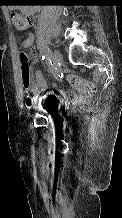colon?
<instances>
[{"label": "colon", "mask_w": 122, "mask_h": 218, "mask_svg": "<svg viewBox=\"0 0 122 218\" xmlns=\"http://www.w3.org/2000/svg\"><path fill=\"white\" fill-rule=\"evenodd\" d=\"M11 19L18 31H26L33 22L31 16L18 11H13L11 13ZM20 75L23 88L26 91H30L32 87L31 56L26 51L20 53ZM70 81L71 84L83 94L92 95L94 93V86L91 83L75 77H72Z\"/></svg>", "instance_id": "5ec220e1"}]
</instances>
